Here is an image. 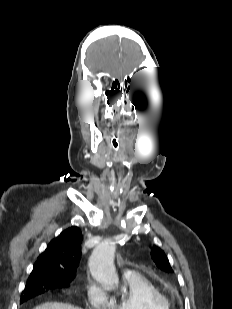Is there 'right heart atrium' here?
<instances>
[{
    "label": "right heart atrium",
    "instance_id": "d8ad5b80",
    "mask_svg": "<svg viewBox=\"0 0 232 309\" xmlns=\"http://www.w3.org/2000/svg\"><path fill=\"white\" fill-rule=\"evenodd\" d=\"M87 297L95 309H107L109 298L105 290L96 282L89 281L87 284Z\"/></svg>",
    "mask_w": 232,
    "mask_h": 309
}]
</instances>
